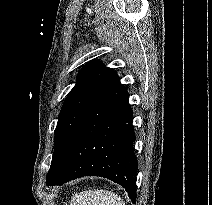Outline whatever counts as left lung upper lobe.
I'll return each mask as SVG.
<instances>
[{
    "instance_id": "obj_1",
    "label": "left lung upper lobe",
    "mask_w": 212,
    "mask_h": 205,
    "mask_svg": "<svg viewBox=\"0 0 212 205\" xmlns=\"http://www.w3.org/2000/svg\"><path fill=\"white\" fill-rule=\"evenodd\" d=\"M116 77L113 69L100 61L89 62L79 73L76 85L69 92L58 117L55 149L46 184L57 178L82 121L102 97Z\"/></svg>"
}]
</instances>
